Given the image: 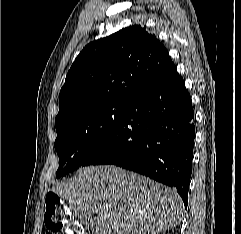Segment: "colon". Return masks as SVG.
<instances>
[{"mask_svg": "<svg viewBox=\"0 0 241 234\" xmlns=\"http://www.w3.org/2000/svg\"><path fill=\"white\" fill-rule=\"evenodd\" d=\"M45 224L51 234H83L82 226L73 220L69 208L53 193L46 197Z\"/></svg>", "mask_w": 241, "mask_h": 234, "instance_id": "1", "label": "colon"}]
</instances>
